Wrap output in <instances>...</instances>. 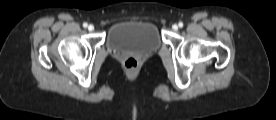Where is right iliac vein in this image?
<instances>
[{"mask_svg": "<svg viewBox=\"0 0 276 120\" xmlns=\"http://www.w3.org/2000/svg\"><path fill=\"white\" fill-rule=\"evenodd\" d=\"M88 30H89V31H94V26H93V25H89V26H88Z\"/></svg>", "mask_w": 276, "mask_h": 120, "instance_id": "obj_1", "label": "right iliac vein"}]
</instances>
